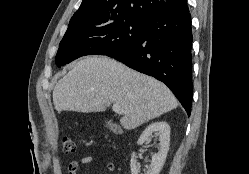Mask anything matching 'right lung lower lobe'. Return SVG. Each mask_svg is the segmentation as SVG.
Segmentation results:
<instances>
[{"label":"right lung lower lobe","mask_w":249,"mask_h":174,"mask_svg":"<svg viewBox=\"0 0 249 174\" xmlns=\"http://www.w3.org/2000/svg\"><path fill=\"white\" fill-rule=\"evenodd\" d=\"M191 46V16L186 7L148 18L144 31L136 42L122 52L105 55L165 83L190 116Z\"/></svg>","instance_id":"1"}]
</instances>
